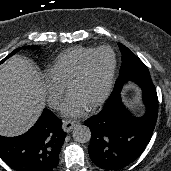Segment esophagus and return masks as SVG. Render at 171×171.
Listing matches in <instances>:
<instances>
[{
	"instance_id": "34e87169",
	"label": "esophagus",
	"mask_w": 171,
	"mask_h": 171,
	"mask_svg": "<svg viewBox=\"0 0 171 171\" xmlns=\"http://www.w3.org/2000/svg\"><path fill=\"white\" fill-rule=\"evenodd\" d=\"M79 122L78 121H73V120H66V121H63V124H62V129L69 133L72 131V129L78 124Z\"/></svg>"
}]
</instances>
